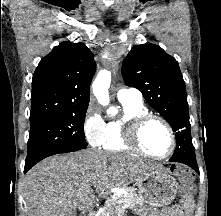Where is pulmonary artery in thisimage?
<instances>
[{"instance_id": "obj_1", "label": "pulmonary artery", "mask_w": 221, "mask_h": 216, "mask_svg": "<svg viewBox=\"0 0 221 216\" xmlns=\"http://www.w3.org/2000/svg\"><path fill=\"white\" fill-rule=\"evenodd\" d=\"M117 98L120 102L123 101H142V94L134 88H122L117 93Z\"/></svg>"}]
</instances>
